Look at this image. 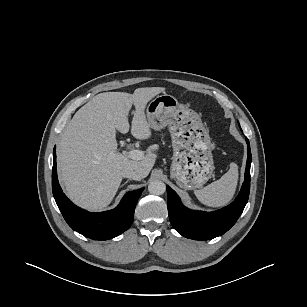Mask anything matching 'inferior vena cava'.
Listing matches in <instances>:
<instances>
[{"mask_svg":"<svg viewBox=\"0 0 307 307\" xmlns=\"http://www.w3.org/2000/svg\"><path fill=\"white\" fill-rule=\"evenodd\" d=\"M121 175L123 177L133 179V180H141L142 179V174L139 170H136L134 168H126L122 170Z\"/></svg>","mask_w":307,"mask_h":307,"instance_id":"obj_1","label":"inferior vena cava"}]
</instances>
